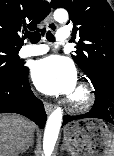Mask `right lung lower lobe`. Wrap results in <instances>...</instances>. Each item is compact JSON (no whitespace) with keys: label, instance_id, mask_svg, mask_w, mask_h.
<instances>
[{"label":"right lung lower lobe","instance_id":"1","mask_svg":"<svg viewBox=\"0 0 114 156\" xmlns=\"http://www.w3.org/2000/svg\"><path fill=\"white\" fill-rule=\"evenodd\" d=\"M27 67L12 82H0V113H18L34 121L43 128L46 112L43 103L34 96L28 81Z\"/></svg>","mask_w":114,"mask_h":156}]
</instances>
